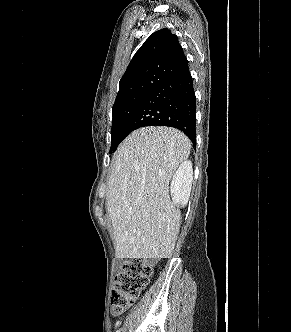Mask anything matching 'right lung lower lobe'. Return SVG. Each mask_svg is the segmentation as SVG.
Returning a JSON list of instances; mask_svg holds the SVG:
<instances>
[{"label":"right lung lower lobe","mask_w":291,"mask_h":332,"mask_svg":"<svg viewBox=\"0 0 291 332\" xmlns=\"http://www.w3.org/2000/svg\"><path fill=\"white\" fill-rule=\"evenodd\" d=\"M196 98L189 68L157 85L125 126L126 136L145 126H168L183 131L195 145Z\"/></svg>","instance_id":"obj_1"}]
</instances>
